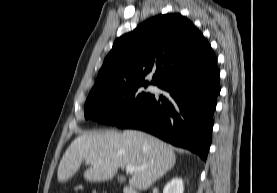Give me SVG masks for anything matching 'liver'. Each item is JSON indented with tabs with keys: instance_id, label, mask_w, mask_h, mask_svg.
<instances>
[{
	"instance_id": "obj_1",
	"label": "liver",
	"mask_w": 277,
	"mask_h": 193,
	"mask_svg": "<svg viewBox=\"0 0 277 193\" xmlns=\"http://www.w3.org/2000/svg\"><path fill=\"white\" fill-rule=\"evenodd\" d=\"M82 162L89 165L84 178L93 182L113 178L118 168L133 166L129 185L147 190L176 162L173 147L137 130L87 132L68 147L58 166L59 182L68 181Z\"/></svg>"
}]
</instances>
